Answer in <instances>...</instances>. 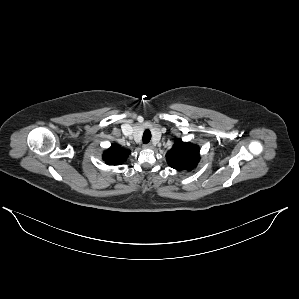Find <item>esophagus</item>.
Returning <instances> with one entry per match:
<instances>
[{
    "label": "esophagus",
    "instance_id": "34e87169",
    "mask_svg": "<svg viewBox=\"0 0 299 299\" xmlns=\"http://www.w3.org/2000/svg\"><path fill=\"white\" fill-rule=\"evenodd\" d=\"M143 147H144L145 149H152V148H153V145H152L151 143H146V144L143 145Z\"/></svg>",
    "mask_w": 299,
    "mask_h": 299
}]
</instances>
